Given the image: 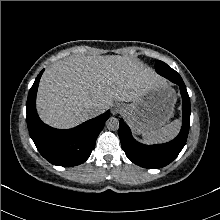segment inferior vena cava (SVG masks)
Masks as SVG:
<instances>
[{
	"label": "inferior vena cava",
	"instance_id": "obj_1",
	"mask_svg": "<svg viewBox=\"0 0 220 220\" xmlns=\"http://www.w3.org/2000/svg\"><path fill=\"white\" fill-rule=\"evenodd\" d=\"M87 112L90 117H95L102 112V108L99 106L91 105L87 108Z\"/></svg>",
	"mask_w": 220,
	"mask_h": 220
}]
</instances>
